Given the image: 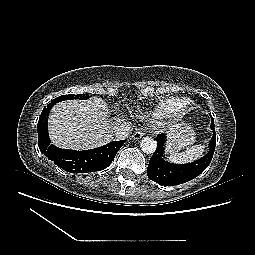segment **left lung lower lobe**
<instances>
[{"instance_id":"left-lung-lower-lobe-1","label":"left lung lower lobe","mask_w":255,"mask_h":255,"mask_svg":"<svg viewBox=\"0 0 255 255\" xmlns=\"http://www.w3.org/2000/svg\"><path fill=\"white\" fill-rule=\"evenodd\" d=\"M211 129L213 137L210 141L209 152L197 161L189 164H171L164 159V144L166 135L159 134L156 138L157 149L152 155L147 168V175L150 180L165 186H173L188 182L200 175L210 164L215 146L216 134L214 119H211Z\"/></svg>"}]
</instances>
